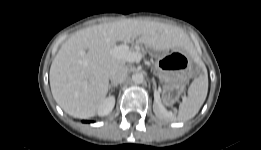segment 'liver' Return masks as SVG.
<instances>
[{
    "label": "liver",
    "instance_id": "obj_1",
    "mask_svg": "<svg viewBox=\"0 0 261 150\" xmlns=\"http://www.w3.org/2000/svg\"><path fill=\"white\" fill-rule=\"evenodd\" d=\"M139 43L154 51L192 46L180 28L137 19H123L81 29L60 47L49 73L52 95L69 115L90 118L98 113L109 89L112 67L127 61L114 57L116 42Z\"/></svg>",
    "mask_w": 261,
    "mask_h": 150
}]
</instances>
